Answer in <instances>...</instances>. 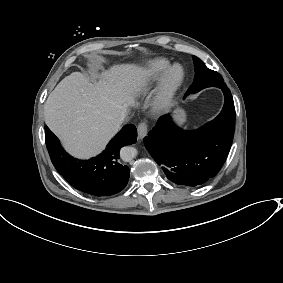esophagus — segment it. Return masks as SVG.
Instances as JSON below:
<instances>
[{"mask_svg": "<svg viewBox=\"0 0 283 283\" xmlns=\"http://www.w3.org/2000/svg\"><path fill=\"white\" fill-rule=\"evenodd\" d=\"M137 131H138V138L139 139L144 138L147 134V124L144 122L140 123L138 125Z\"/></svg>", "mask_w": 283, "mask_h": 283, "instance_id": "34e87169", "label": "esophagus"}]
</instances>
